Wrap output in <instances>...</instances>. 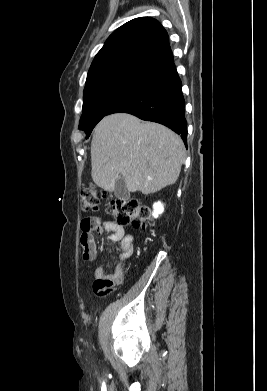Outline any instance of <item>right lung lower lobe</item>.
<instances>
[{
	"instance_id": "right-lung-lower-lobe-1",
	"label": "right lung lower lobe",
	"mask_w": 267,
	"mask_h": 391,
	"mask_svg": "<svg viewBox=\"0 0 267 391\" xmlns=\"http://www.w3.org/2000/svg\"><path fill=\"white\" fill-rule=\"evenodd\" d=\"M182 83L174 63L155 72L148 81L115 105L108 113L125 112L163 124L187 143V122Z\"/></svg>"
}]
</instances>
